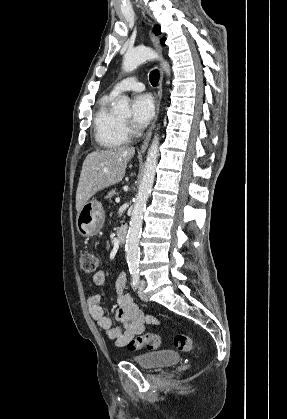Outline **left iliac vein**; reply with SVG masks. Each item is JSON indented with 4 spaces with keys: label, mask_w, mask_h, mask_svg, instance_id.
<instances>
[{
    "label": "left iliac vein",
    "mask_w": 287,
    "mask_h": 419,
    "mask_svg": "<svg viewBox=\"0 0 287 419\" xmlns=\"http://www.w3.org/2000/svg\"><path fill=\"white\" fill-rule=\"evenodd\" d=\"M145 287H146V281L141 280L139 282L138 295L143 301H148L147 294L145 293Z\"/></svg>",
    "instance_id": "1"
}]
</instances>
